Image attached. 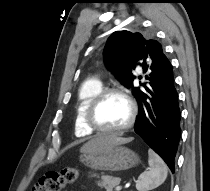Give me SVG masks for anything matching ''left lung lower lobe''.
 I'll use <instances>...</instances> for the list:
<instances>
[{
    "mask_svg": "<svg viewBox=\"0 0 210 191\" xmlns=\"http://www.w3.org/2000/svg\"><path fill=\"white\" fill-rule=\"evenodd\" d=\"M137 99L139 112L135 132L175 171V156L181 135L178 93L173 67L166 58L150 75Z\"/></svg>",
    "mask_w": 210,
    "mask_h": 191,
    "instance_id": "0a47b994",
    "label": "left lung lower lobe"
}]
</instances>
